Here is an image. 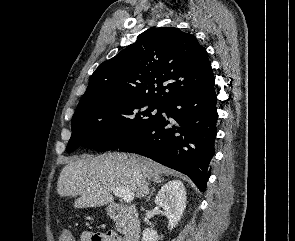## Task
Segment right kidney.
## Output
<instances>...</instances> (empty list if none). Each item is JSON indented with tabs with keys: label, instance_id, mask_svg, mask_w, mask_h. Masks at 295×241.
I'll return each instance as SVG.
<instances>
[{
	"label": "right kidney",
	"instance_id": "ca27d5eb",
	"mask_svg": "<svg viewBox=\"0 0 295 241\" xmlns=\"http://www.w3.org/2000/svg\"><path fill=\"white\" fill-rule=\"evenodd\" d=\"M186 199V190L180 180L169 181L159 190L155 204L163 208V214L169 221L168 229L172 230L180 221L186 208ZM159 238L153 229L147 228L143 231L142 241H158Z\"/></svg>",
	"mask_w": 295,
	"mask_h": 241
}]
</instances>
